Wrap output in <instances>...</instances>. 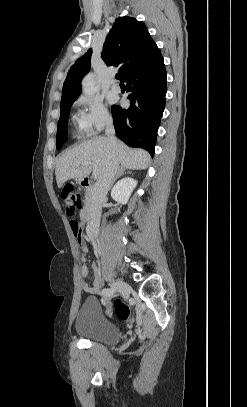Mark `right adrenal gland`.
<instances>
[{"mask_svg":"<svg viewBox=\"0 0 247 407\" xmlns=\"http://www.w3.org/2000/svg\"><path fill=\"white\" fill-rule=\"evenodd\" d=\"M124 174H131V172H130V171L126 172V169L123 168V167H121V168L118 170V172H117L115 178L113 179L110 188L113 186V184L115 183V181H116L118 178H120L121 176H123Z\"/></svg>","mask_w":247,"mask_h":407,"instance_id":"right-adrenal-gland-1","label":"right adrenal gland"}]
</instances>
